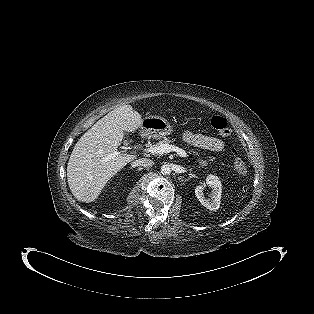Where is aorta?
I'll return each instance as SVG.
<instances>
[{
    "label": "aorta",
    "mask_w": 314,
    "mask_h": 314,
    "mask_svg": "<svg viewBox=\"0 0 314 314\" xmlns=\"http://www.w3.org/2000/svg\"><path fill=\"white\" fill-rule=\"evenodd\" d=\"M161 173L163 175H169L171 173V166L169 164H164L161 167Z\"/></svg>",
    "instance_id": "obj_1"
}]
</instances>
